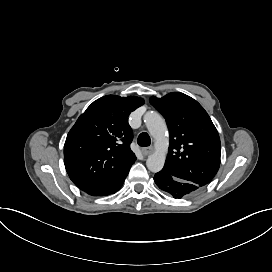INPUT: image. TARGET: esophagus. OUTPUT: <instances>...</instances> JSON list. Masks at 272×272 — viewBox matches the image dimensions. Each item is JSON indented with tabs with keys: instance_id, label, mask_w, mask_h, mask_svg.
I'll list each match as a JSON object with an SVG mask.
<instances>
[{
	"instance_id": "1",
	"label": "esophagus",
	"mask_w": 272,
	"mask_h": 272,
	"mask_svg": "<svg viewBox=\"0 0 272 272\" xmlns=\"http://www.w3.org/2000/svg\"><path fill=\"white\" fill-rule=\"evenodd\" d=\"M141 151L144 155H149L153 152V149L151 147H144L141 149Z\"/></svg>"
}]
</instances>
